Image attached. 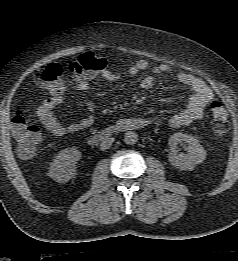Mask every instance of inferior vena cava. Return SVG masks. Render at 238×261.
Here are the masks:
<instances>
[{"instance_id": "inferior-vena-cava-1", "label": "inferior vena cava", "mask_w": 238, "mask_h": 261, "mask_svg": "<svg viewBox=\"0 0 238 261\" xmlns=\"http://www.w3.org/2000/svg\"><path fill=\"white\" fill-rule=\"evenodd\" d=\"M112 143H113V138H106L101 142L100 149L102 151H105L111 147Z\"/></svg>"}]
</instances>
